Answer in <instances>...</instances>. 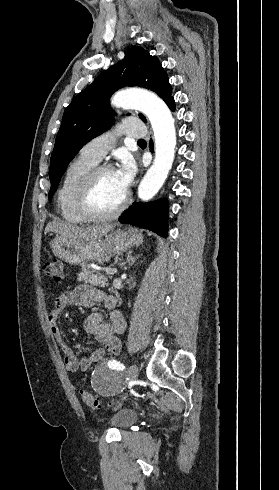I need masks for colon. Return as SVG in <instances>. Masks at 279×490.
<instances>
[{
    "label": "colon",
    "mask_w": 279,
    "mask_h": 490,
    "mask_svg": "<svg viewBox=\"0 0 279 490\" xmlns=\"http://www.w3.org/2000/svg\"><path fill=\"white\" fill-rule=\"evenodd\" d=\"M44 274L46 276L54 278L56 281L61 280L62 277V263L60 260L55 259L47 262L43 268ZM82 401L92 409L103 408V402L91 391L81 390L80 391Z\"/></svg>",
    "instance_id": "5ec220e1"
}]
</instances>
